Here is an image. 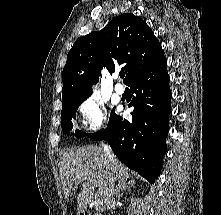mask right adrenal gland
Wrapping results in <instances>:
<instances>
[{
  "label": "right adrenal gland",
  "mask_w": 221,
  "mask_h": 215,
  "mask_svg": "<svg viewBox=\"0 0 221 215\" xmlns=\"http://www.w3.org/2000/svg\"><path fill=\"white\" fill-rule=\"evenodd\" d=\"M131 188H135L134 180H126L124 182L118 183L116 186V196H119L120 191L130 190Z\"/></svg>",
  "instance_id": "right-adrenal-gland-1"
}]
</instances>
